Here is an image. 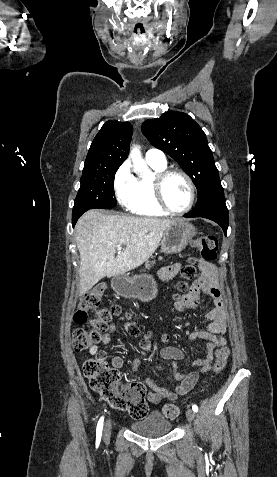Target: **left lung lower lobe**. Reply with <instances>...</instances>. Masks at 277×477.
<instances>
[{
    "label": "left lung lower lobe",
    "instance_id": "1",
    "mask_svg": "<svg viewBox=\"0 0 277 477\" xmlns=\"http://www.w3.org/2000/svg\"><path fill=\"white\" fill-rule=\"evenodd\" d=\"M184 216L188 218L203 217L210 219L218 223L226 235L228 228V209L225 204L223 187L220 186L214 189L201 205Z\"/></svg>",
    "mask_w": 277,
    "mask_h": 477
}]
</instances>
